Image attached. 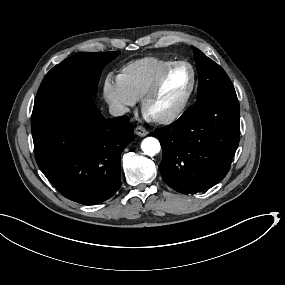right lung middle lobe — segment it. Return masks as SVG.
I'll return each mask as SVG.
<instances>
[{"mask_svg":"<svg viewBox=\"0 0 285 285\" xmlns=\"http://www.w3.org/2000/svg\"><path fill=\"white\" fill-rule=\"evenodd\" d=\"M120 51L77 53L54 66L44 77L35 102L69 87L97 92V85L103 68L115 59Z\"/></svg>","mask_w":285,"mask_h":285,"instance_id":"obj_1","label":"right lung middle lobe"}]
</instances>
